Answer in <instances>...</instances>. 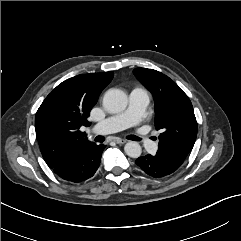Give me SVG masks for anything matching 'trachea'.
I'll return each mask as SVG.
<instances>
[{
    "instance_id": "obj_1",
    "label": "trachea",
    "mask_w": 241,
    "mask_h": 241,
    "mask_svg": "<svg viewBox=\"0 0 241 241\" xmlns=\"http://www.w3.org/2000/svg\"><path fill=\"white\" fill-rule=\"evenodd\" d=\"M129 139L134 140V141H140V140H141V139H140L139 137H137V136H130ZM104 140H105V139H104V137H102V136H97V137L95 138V141H96V142H103Z\"/></svg>"
}]
</instances>
